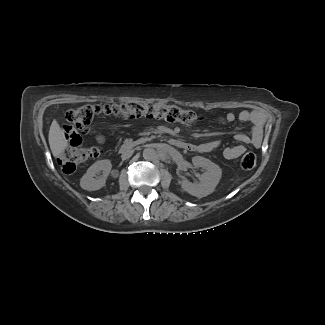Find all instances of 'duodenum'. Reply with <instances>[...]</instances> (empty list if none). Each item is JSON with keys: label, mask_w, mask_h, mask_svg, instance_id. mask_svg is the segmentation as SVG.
<instances>
[{"label": "duodenum", "mask_w": 325, "mask_h": 325, "mask_svg": "<svg viewBox=\"0 0 325 325\" xmlns=\"http://www.w3.org/2000/svg\"><path fill=\"white\" fill-rule=\"evenodd\" d=\"M168 142L171 146L176 147L178 149H182V150H186L191 147L190 143L183 141V140L176 139V138H171V139H169ZM131 148H132L131 143H125L120 147V151L122 153H127L131 150Z\"/></svg>", "instance_id": "410a0bca"}]
</instances>
